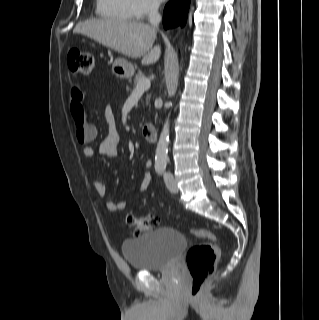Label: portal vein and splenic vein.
<instances>
[{
	"label": "portal vein and splenic vein",
	"mask_w": 319,
	"mask_h": 320,
	"mask_svg": "<svg viewBox=\"0 0 319 320\" xmlns=\"http://www.w3.org/2000/svg\"><path fill=\"white\" fill-rule=\"evenodd\" d=\"M150 85V79L144 77L138 81L135 90H146L150 87Z\"/></svg>",
	"instance_id": "obj_1"
}]
</instances>
